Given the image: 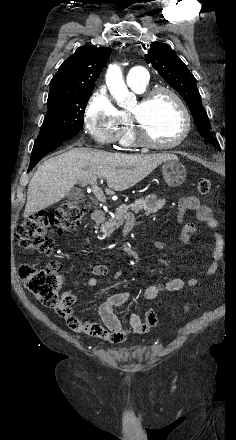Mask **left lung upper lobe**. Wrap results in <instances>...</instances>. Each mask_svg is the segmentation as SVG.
Here are the masks:
<instances>
[{
    "label": "left lung upper lobe",
    "mask_w": 236,
    "mask_h": 440,
    "mask_svg": "<svg viewBox=\"0 0 236 440\" xmlns=\"http://www.w3.org/2000/svg\"><path fill=\"white\" fill-rule=\"evenodd\" d=\"M145 60L158 71L185 100L195 119L200 135L206 139L213 138L211 126L201 96L197 90L196 80L185 64L177 57L171 47L164 43L143 44Z\"/></svg>",
    "instance_id": "5c2ea615"
}]
</instances>
